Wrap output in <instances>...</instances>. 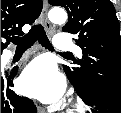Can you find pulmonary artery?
<instances>
[{
  "mask_svg": "<svg viewBox=\"0 0 121 113\" xmlns=\"http://www.w3.org/2000/svg\"><path fill=\"white\" fill-rule=\"evenodd\" d=\"M55 48L60 51H68L72 48V42L67 34H57L55 38ZM78 56H82L81 50L77 49Z\"/></svg>",
  "mask_w": 121,
  "mask_h": 113,
  "instance_id": "e3ab8cb5",
  "label": "pulmonary artery"
}]
</instances>
